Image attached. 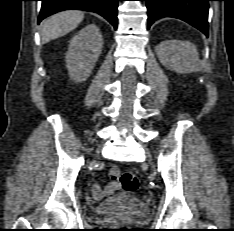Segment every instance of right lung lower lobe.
<instances>
[{
    "mask_svg": "<svg viewBox=\"0 0 234 231\" xmlns=\"http://www.w3.org/2000/svg\"><path fill=\"white\" fill-rule=\"evenodd\" d=\"M42 8L38 23L42 19L63 10L78 9L100 14L117 28V7L119 0H41Z\"/></svg>",
    "mask_w": 234,
    "mask_h": 231,
    "instance_id": "right-lung-lower-lobe-1",
    "label": "right lung lower lobe"
}]
</instances>
